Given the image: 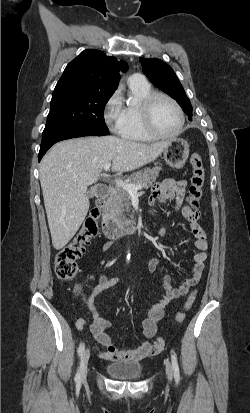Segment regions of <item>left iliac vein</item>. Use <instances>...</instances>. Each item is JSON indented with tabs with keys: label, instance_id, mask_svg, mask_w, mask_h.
Masks as SVG:
<instances>
[{
	"label": "left iliac vein",
	"instance_id": "1",
	"mask_svg": "<svg viewBox=\"0 0 250 413\" xmlns=\"http://www.w3.org/2000/svg\"><path fill=\"white\" fill-rule=\"evenodd\" d=\"M166 374H167L168 380L171 381L173 377V368H172V365L168 361L166 362Z\"/></svg>",
	"mask_w": 250,
	"mask_h": 413
}]
</instances>
